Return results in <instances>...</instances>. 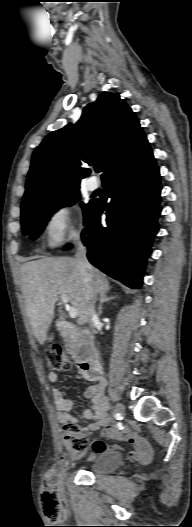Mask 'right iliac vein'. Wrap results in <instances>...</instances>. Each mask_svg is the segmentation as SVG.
Instances as JSON below:
<instances>
[{"label": "right iliac vein", "mask_w": 192, "mask_h": 527, "mask_svg": "<svg viewBox=\"0 0 192 527\" xmlns=\"http://www.w3.org/2000/svg\"><path fill=\"white\" fill-rule=\"evenodd\" d=\"M115 411L118 412L120 415L124 414V406L121 403L116 404Z\"/></svg>", "instance_id": "1"}]
</instances>
